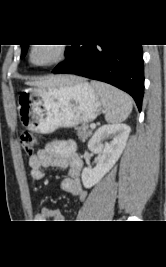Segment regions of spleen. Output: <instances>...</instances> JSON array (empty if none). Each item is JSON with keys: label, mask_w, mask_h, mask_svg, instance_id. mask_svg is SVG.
<instances>
[{"label": "spleen", "mask_w": 166, "mask_h": 267, "mask_svg": "<svg viewBox=\"0 0 166 267\" xmlns=\"http://www.w3.org/2000/svg\"><path fill=\"white\" fill-rule=\"evenodd\" d=\"M105 108V120L108 123H120L127 119L132 111V100L126 93L108 84L92 81Z\"/></svg>", "instance_id": "obj_1"}]
</instances>
